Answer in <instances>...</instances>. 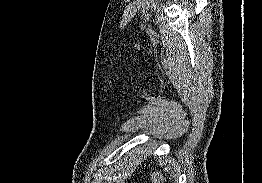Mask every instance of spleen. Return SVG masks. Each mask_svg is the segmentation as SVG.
<instances>
[{"instance_id": "1", "label": "spleen", "mask_w": 262, "mask_h": 183, "mask_svg": "<svg viewBox=\"0 0 262 183\" xmlns=\"http://www.w3.org/2000/svg\"><path fill=\"white\" fill-rule=\"evenodd\" d=\"M165 179H166V178H165ZM151 180H152V183H160V182L163 183L164 177H163V175L161 174V172L156 171V173L153 172V173L151 174Z\"/></svg>"}]
</instances>
